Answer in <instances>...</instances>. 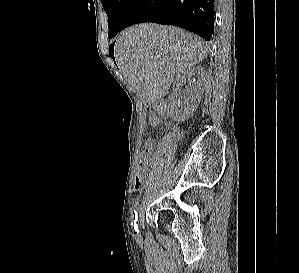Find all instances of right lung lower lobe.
I'll return each mask as SVG.
<instances>
[{"label": "right lung lower lobe", "mask_w": 299, "mask_h": 273, "mask_svg": "<svg viewBox=\"0 0 299 273\" xmlns=\"http://www.w3.org/2000/svg\"><path fill=\"white\" fill-rule=\"evenodd\" d=\"M215 0H134L119 31L133 24L175 25L210 40L214 34Z\"/></svg>", "instance_id": "98d812e1"}]
</instances>
